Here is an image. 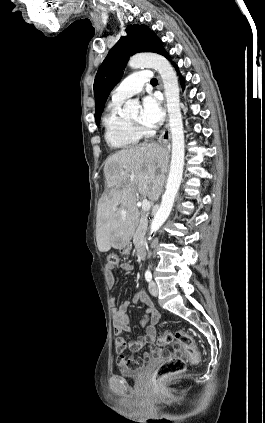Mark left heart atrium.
<instances>
[{"mask_svg":"<svg viewBox=\"0 0 265 423\" xmlns=\"http://www.w3.org/2000/svg\"><path fill=\"white\" fill-rule=\"evenodd\" d=\"M164 117L159 99L148 95L142 100L141 123L147 127H156Z\"/></svg>","mask_w":265,"mask_h":423,"instance_id":"39dd6f15","label":"left heart atrium"}]
</instances>
